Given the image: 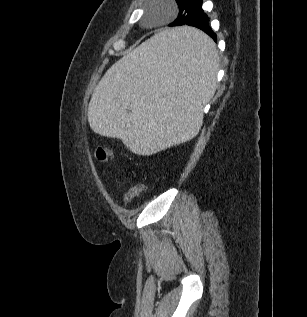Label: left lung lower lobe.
I'll use <instances>...</instances> for the list:
<instances>
[{
	"label": "left lung lower lobe",
	"instance_id": "obj_1",
	"mask_svg": "<svg viewBox=\"0 0 307 317\" xmlns=\"http://www.w3.org/2000/svg\"><path fill=\"white\" fill-rule=\"evenodd\" d=\"M181 25H189L196 28H199L207 35H209L215 42H217V36L211 29L209 25L208 16L202 9V3L200 4L199 8L197 9L196 13L189 17L185 18ZM179 25V26H181ZM168 47L174 51H193L199 55L204 57H208L211 55L212 47L208 43H205L201 39L193 38L190 36H172L167 41Z\"/></svg>",
	"mask_w": 307,
	"mask_h": 317
}]
</instances>
